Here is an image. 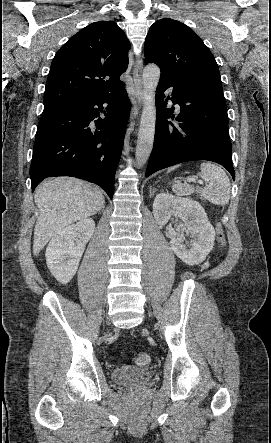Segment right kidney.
<instances>
[{
	"instance_id": "right-kidney-1",
	"label": "right kidney",
	"mask_w": 271,
	"mask_h": 443,
	"mask_svg": "<svg viewBox=\"0 0 271 443\" xmlns=\"http://www.w3.org/2000/svg\"><path fill=\"white\" fill-rule=\"evenodd\" d=\"M94 229V220L87 218L67 225L50 239L45 253L46 263L60 283H68L75 275L85 245L92 237Z\"/></svg>"
}]
</instances>
